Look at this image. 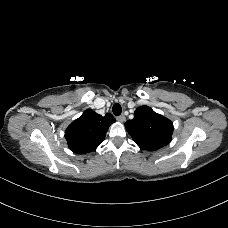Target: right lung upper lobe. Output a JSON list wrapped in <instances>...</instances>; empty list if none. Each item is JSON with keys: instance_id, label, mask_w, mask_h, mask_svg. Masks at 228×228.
<instances>
[{"instance_id": "cb5924a9", "label": "right lung upper lobe", "mask_w": 228, "mask_h": 228, "mask_svg": "<svg viewBox=\"0 0 228 228\" xmlns=\"http://www.w3.org/2000/svg\"><path fill=\"white\" fill-rule=\"evenodd\" d=\"M115 121L110 113L101 116L91 109L85 110L65 131L69 148L77 154L94 151L103 142L109 126Z\"/></svg>"}]
</instances>
